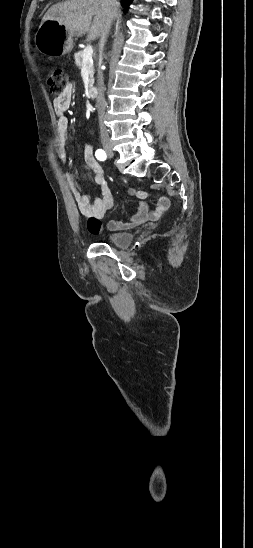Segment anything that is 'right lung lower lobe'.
<instances>
[{
	"instance_id": "right-lung-lower-lobe-1",
	"label": "right lung lower lobe",
	"mask_w": 253,
	"mask_h": 548,
	"mask_svg": "<svg viewBox=\"0 0 253 548\" xmlns=\"http://www.w3.org/2000/svg\"><path fill=\"white\" fill-rule=\"evenodd\" d=\"M131 2H132V0H122V3L124 4L125 7H129Z\"/></svg>"
}]
</instances>
